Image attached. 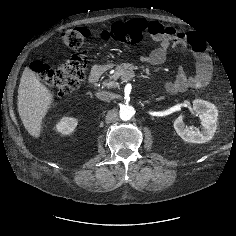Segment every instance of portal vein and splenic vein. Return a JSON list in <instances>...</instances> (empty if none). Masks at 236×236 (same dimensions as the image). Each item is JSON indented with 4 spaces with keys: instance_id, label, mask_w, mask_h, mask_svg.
Wrapping results in <instances>:
<instances>
[{
    "instance_id": "portal-vein-and-splenic-vein-1",
    "label": "portal vein and splenic vein",
    "mask_w": 236,
    "mask_h": 236,
    "mask_svg": "<svg viewBox=\"0 0 236 236\" xmlns=\"http://www.w3.org/2000/svg\"><path fill=\"white\" fill-rule=\"evenodd\" d=\"M132 77L127 78L126 80H130Z\"/></svg>"
}]
</instances>
